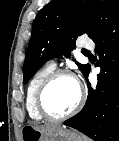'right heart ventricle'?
<instances>
[{"mask_svg": "<svg viewBox=\"0 0 119 141\" xmlns=\"http://www.w3.org/2000/svg\"><path fill=\"white\" fill-rule=\"evenodd\" d=\"M54 71V66L48 64L38 70L30 79L27 90H26V99H25V107L28 112V115L36 121H41L43 118L38 113L35 105V96L36 92L43 82V80Z\"/></svg>", "mask_w": 119, "mask_h": 141, "instance_id": "right-heart-ventricle-1", "label": "right heart ventricle"}]
</instances>
